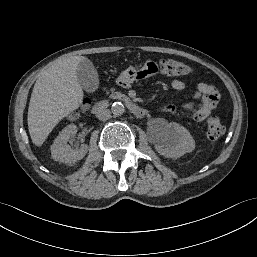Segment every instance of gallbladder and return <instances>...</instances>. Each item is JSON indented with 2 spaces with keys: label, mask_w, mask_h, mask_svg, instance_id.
Segmentation results:
<instances>
[{
  "label": "gallbladder",
  "mask_w": 257,
  "mask_h": 257,
  "mask_svg": "<svg viewBox=\"0 0 257 257\" xmlns=\"http://www.w3.org/2000/svg\"><path fill=\"white\" fill-rule=\"evenodd\" d=\"M76 75L83 90L86 92L97 90L99 86L98 73L90 60L84 59L79 63Z\"/></svg>",
  "instance_id": "bac80fb5"
}]
</instances>
